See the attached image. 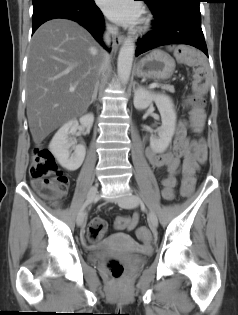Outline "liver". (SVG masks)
<instances>
[{
    "label": "liver",
    "instance_id": "1",
    "mask_svg": "<svg viewBox=\"0 0 238 315\" xmlns=\"http://www.w3.org/2000/svg\"><path fill=\"white\" fill-rule=\"evenodd\" d=\"M103 59L90 33L73 21L53 19L35 32L28 53L26 101L36 144L86 112Z\"/></svg>",
    "mask_w": 238,
    "mask_h": 315
}]
</instances>
